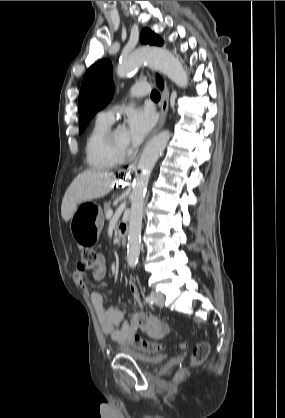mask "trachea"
<instances>
[{
    "label": "trachea",
    "mask_w": 285,
    "mask_h": 418,
    "mask_svg": "<svg viewBox=\"0 0 285 418\" xmlns=\"http://www.w3.org/2000/svg\"><path fill=\"white\" fill-rule=\"evenodd\" d=\"M151 97L152 98H160V94L157 91L153 90L152 93H151Z\"/></svg>",
    "instance_id": "trachea-1"
}]
</instances>
